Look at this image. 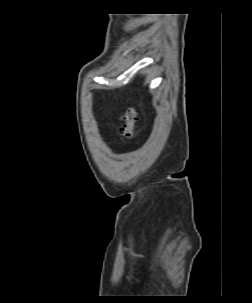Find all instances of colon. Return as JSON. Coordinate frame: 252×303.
Instances as JSON below:
<instances>
[{
  "instance_id": "colon-1",
  "label": "colon",
  "mask_w": 252,
  "mask_h": 303,
  "mask_svg": "<svg viewBox=\"0 0 252 303\" xmlns=\"http://www.w3.org/2000/svg\"><path fill=\"white\" fill-rule=\"evenodd\" d=\"M138 120L137 111L134 106L127 107L124 115V124L121 128V134L126 141L135 138V125Z\"/></svg>"
}]
</instances>
